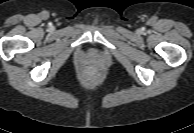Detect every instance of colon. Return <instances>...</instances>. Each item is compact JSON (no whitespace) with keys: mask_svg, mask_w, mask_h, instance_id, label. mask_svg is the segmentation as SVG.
<instances>
[{"mask_svg":"<svg viewBox=\"0 0 194 133\" xmlns=\"http://www.w3.org/2000/svg\"><path fill=\"white\" fill-rule=\"evenodd\" d=\"M87 75L92 78V79H96L100 76V70L97 68H89L86 71Z\"/></svg>","mask_w":194,"mask_h":133,"instance_id":"1","label":"colon"}]
</instances>
